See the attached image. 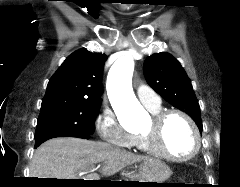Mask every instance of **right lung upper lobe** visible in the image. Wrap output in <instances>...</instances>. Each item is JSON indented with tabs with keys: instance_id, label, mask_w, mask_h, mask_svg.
<instances>
[{
	"instance_id": "1",
	"label": "right lung upper lobe",
	"mask_w": 240,
	"mask_h": 187,
	"mask_svg": "<svg viewBox=\"0 0 240 187\" xmlns=\"http://www.w3.org/2000/svg\"><path fill=\"white\" fill-rule=\"evenodd\" d=\"M107 56L83 48L72 53L49 80L42 106L101 103L102 71Z\"/></svg>"
}]
</instances>
